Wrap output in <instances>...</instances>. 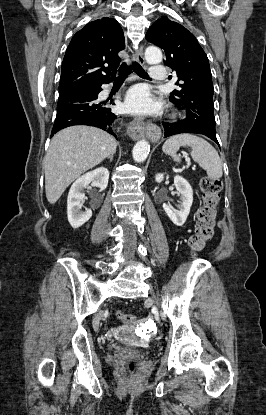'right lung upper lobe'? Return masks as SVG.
Listing matches in <instances>:
<instances>
[{"mask_svg":"<svg viewBox=\"0 0 266 415\" xmlns=\"http://www.w3.org/2000/svg\"><path fill=\"white\" fill-rule=\"evenodd\" d=\"M124 48V34L116 20L105 17L88 23L66 50L59 95L111 82L121 61L118 52Z\"/></svg>","mask_w":266,"mask_h":415,"instance_id":"cb5924a9","label":"right lung upper lobe"}]
</instances>
